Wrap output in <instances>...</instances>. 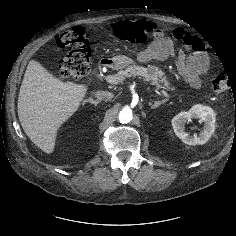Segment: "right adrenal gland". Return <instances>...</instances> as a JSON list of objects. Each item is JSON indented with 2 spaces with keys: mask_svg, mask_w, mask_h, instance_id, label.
Instances as JSON below:
<instances>
[{
  "mask_svg": "<svg viewBox=\"0 0 236 236\" xmlns=\"http://www.w3.org/2000/svg\"><path fill=\"white\" fill-rule=\"evenodd\" d=\"M84 103H90L96 107L100 103V100H93V98H89V99L85 100Z\"/></svg>",
  "mask_w": 236,
  "mask_h": 236,
  "instance_id": "right-adrenal-gland-1",
  "label": "right adrenal gland"
}]
</instances>
